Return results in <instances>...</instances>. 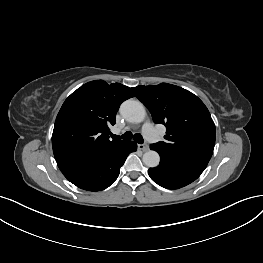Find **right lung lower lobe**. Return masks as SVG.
Returning a JSON list of instances; mask_svg holds the SVG:
<instances>
[{"mask_svg": "<svg viewBox=\"0 0 263 263\" xmlns=\"http://www.w3.org/2000/svg\"><path fill=\"white\" fill-rule=\"evenodd\" d=\"M137 150V144L127 141L100 158L66 171L63 175L77 187L87 191H100L117 179L126 157Z\"/></svg>", "mask_w": 263, "mask_h": 263, "instance_id": "right-lung-lower-lobe-1", "label": "right lung lower lobe"}]
</instances>
